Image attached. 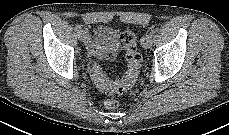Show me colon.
<instances>
[{
	"instance_id": "1",
	"label": "colon",
	"mask_w": 229,
	"mask_h": 135,
	"mask_svg": "<svg viewBox=\"0 0 229 135\" xmlns=\"http://www.w3.org/2000/svg\"><path fill=\"white\" fill-rule=\"evenodd\" d=\"M121 42L126 52L127 70L126 75L119 81L110 80L104 73L102 67L95 61L88 65V71L96 86L106 95L122 94L136 81L142 57L137 50L136 34L133 30H125L121 34ZM104 106L108 109H117L119 102L113 98H106Z\"/></svg>"
}]
</instances>
